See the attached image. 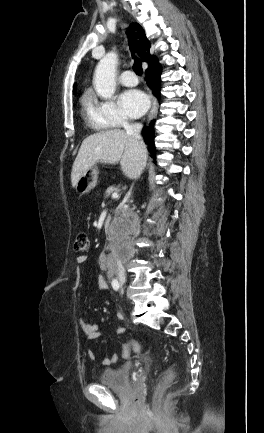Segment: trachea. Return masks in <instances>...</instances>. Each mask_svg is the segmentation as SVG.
<instances>
[{"label":"trachea","mask_w":264,"mask_h":433,"mask_svg":"<svg viewBox=\"0 0 264 433\" xmlns=\"http://www.w3.org/2000/svg\"><path fill=\"white\" fill-rule=\"evenodd\" d=\"M128 38H129L128 40H129L130 50H131V52H132V56H133V58H134L133 70H134V72H135L136 74H138V75H142V63H141V60H140V59H137V58L134 56L133 42H132V39H131L130 35H128Z\"/></svg>","instance_id":"trachea-1"}]
</instances>
